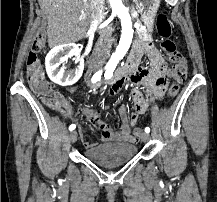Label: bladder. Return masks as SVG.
Returning a JSON list of instances; mask_svg holds the SVG:
<instances>
[{
    "mask_svg": "<svg viewBox=\"0 0 217 202\" xmlns=\"http://www.w3.org/2000/svg\"><path fill=\"white\" fill-rule=\"evenodd\" d=\"M136 154V147L130 143L100 145L94 149H85L87 159L101 166H114L127 163Z\"/></svg>",
    "mask_w": 217,
    "mask_h": 202,
    "instance_id": "obj_1",
    "label": "bladder"
}]
</instances>
